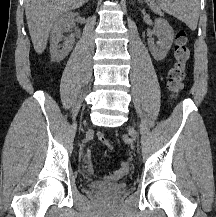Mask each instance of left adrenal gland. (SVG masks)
I'll return each mask as SVG.
<instances>
[{
  "label": "left adrenal gland",
  "instance_id": "1",
  "mask_svg": "<svg viewBox=\"0 0 216 217\" xmlns=\"http://www.w3.org/2000/svg\"><path fill=\"white\" fill-rule=\"evenodd\" d=\"M140 3H142V0H138Z\"/></svg>",
  "mask_w": 216,
  "mask_h": 217
}]
</instances>
